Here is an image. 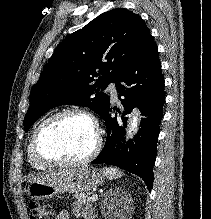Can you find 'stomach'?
Returning <instances> with one entry per match:
<instances>
[{"label":"stomach","instance_id":"stomach-1","mask_svg":"<svg viewBox=\"0 0 211 219\" xmlns=\"http://www.w3.org/2000/svg\"><path fill=\"white\" fill-rule=\"evenodd\" d=\"M104 181L105 174L101 170L83 167L74 170L68 178L57 182H32L28 186V194L32 199L43 200L64 193L87 192L101 186Z\"/></svg>","mask_w":211,"mask_h":219}]
</instances>
